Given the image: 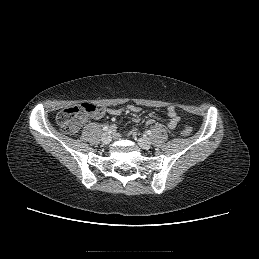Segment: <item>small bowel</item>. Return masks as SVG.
Returning a JSON list of instances; mask_svg holds the SVG:
<instances>
[{
    "mask_svg": "<svg viewBox=\"0 0 259 259\" xmlns=\"http://www.w3.org/2000/svg\"><path fill=\"white\" fill-rule=\"evenodd\" d=\"M140 111H141V108L139 106L130 104V105H127V106H124V107H119V108H107V109L99 108L91 115V117L94 118V119H98V118H101L106 113L111 115V116H118V115H120L124 112L139 113ZM167 115L169 117L168 127L170 129L177 128L180 119H179V117L177 115V112H176V110L173 106H169L167 108ZM154 122H155V119L152 118V117L149 118L148 121H147L148 124H153ZM113 128H115V127H113Z\"/></svg>",
    "mask_w": 259,
    "mask_h": 259,
    "instance_id": "obj_1",
    "label": "small bowel"
}]
</instances>
